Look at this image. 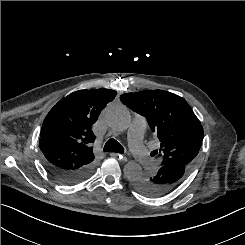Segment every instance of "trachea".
<instances>
[{"label": "trachea", "instance_id": "obj_1", "mask_svg": "<svg viewBox=\"0 0 245 245\" xmlns=\"http://www.w3.org/2000/svg\"><path fill=\"white\" fill-rule=\"evenodd\" d=\"M103 151L105 152H117V153H123L124 148L121 146V144L116 141L115 139H109L104 148Z\"/></svg>", "mask_w": 245, "mask_h": 245}]
</instances>
